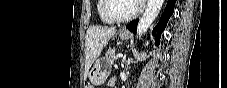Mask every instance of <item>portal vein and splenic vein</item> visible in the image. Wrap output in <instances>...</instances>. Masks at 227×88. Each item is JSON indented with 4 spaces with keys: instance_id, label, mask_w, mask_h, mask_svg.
Segmentation results:
<instances>
[{
    "instance_id": "1",
    "label": "portal vein and splenic vein",
    "mask_w": 227,
    "mask_h": 88,
    "mask_svg": "<svg viewBox=\"0 0 227 88\" xmlns=\"http://www.w3.org/2000/svg\"><path fill=\"white\" fill-rule=\"evenodd\" d=\"M117 58H122L123 57V54L122 53H119L116 55Z\"/></svg>"
}]
</instances>
